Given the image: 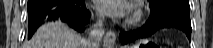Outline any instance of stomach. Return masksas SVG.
<instances>
[{"label":"stomach","instance_id":"obj_1","mask_svg":"<svg viewBox=\"0 0 213 48\" xmlns=\"http://www.w3.org/2000/svg\"><path fill=\"white\" fill-rule=\"evenodd\" d=\"M166 32H168V30H163V31H161V34L166 33ZM148 43H150V41H148V40H142L139 43H137L135 45H132V46H128L126 48H140L141 46H146Z\"/></svg>","mask_w":213,"mask_h":48}]
</instances>
